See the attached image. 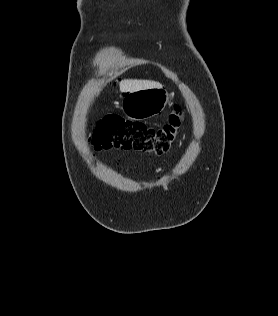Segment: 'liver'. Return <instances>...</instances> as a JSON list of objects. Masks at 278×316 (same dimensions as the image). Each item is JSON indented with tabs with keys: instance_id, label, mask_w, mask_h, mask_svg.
I'll list each match as a JSON object with an SVG mask.
<instances>
[{
	"instance_id": "obj_1",
	"label": "liver",
	"mask_w": 278,
	"mask_h": 316,
	"mask_svg": "<svg viewBox=\"0 0 278 316\" xmlns=\"http://www.w3.org/2000/svg\"><path fill=\"white\" fill-rule=\"evenodd\" d=\"M148 88H162V85L150 80L125 79L120 82V91L123 93L134 92Z\"/></svg>"
}]
</instances>
